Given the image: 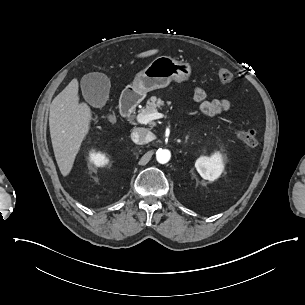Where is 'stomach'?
Returning <instances> with one entry per match:
<instances>
[{
	"instance_id": "obj_1",
	"label": "stomach",
	"mask_w": 305,
	"mask_h": 305,
	"mask_svg": "<svg viewBox=\"0 0 305 305\" xmlns=\"http://www.w3.org/2000/svg\"><path fill=\"white\" fill-rule=\"evenodd\" d=\"M190 74L191 67L188 63L177 61L170 56H159L137 73L133 83L124 91L130 92L129 101L134 99V104H138L147 92L167 87L172 80L186 81Z\"/></svg>"
}]
</instances>
